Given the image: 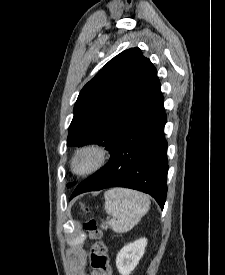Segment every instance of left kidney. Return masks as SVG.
I'll return each mask as SVG.
<instances>
[{"instance_id":"left-kidney-1","label":"left kidney","mask_w":225,"mask_h":275,"mask_svg":"<svg viewBox=\"0 0 225 275\" xmlns=\"http://www.w3.org/2000/svg\"><path fill=\"white\" fill-rule=\"evenodd\" d=\"M147 239L141 238L124 246L116 257V266L121 275H129L144 255Z\"/></svg>"}]
</instances>
